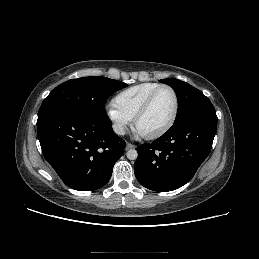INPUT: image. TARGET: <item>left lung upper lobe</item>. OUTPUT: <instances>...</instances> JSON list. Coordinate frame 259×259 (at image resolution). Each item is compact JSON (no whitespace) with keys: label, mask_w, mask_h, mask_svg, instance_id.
<instances>
[{"label":"left lung upper lobe","mask_w":259,"mask_h":259,"mask_svg":"<svg viewBox=\"0 0 259 259\" xmlns=\"http://www.w3.org/2000/svg\"><path fill=\"white\" fill-rule=\"evenodd\" d=\"M160 82L171 86L177 93L179 108L175 122L197 116L217 119L214 106L200 90L178 79H162Z\"/></svg>","instance_id":"5c2ea615"}]
</instances>
